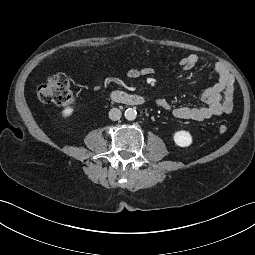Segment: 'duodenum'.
Wrapping results in <instances>:
<instances>
[{"label":"duodenum","mask_w":255,"mask_h":255,"mask_svg":"<svg viewBox=\"0 0 255 255\" xmlns=\"http://www.w3.org/2000/svg\"><path fill=\"white\" fill-rule=\"evenodd\" d=\"M110 99L112 101L130 105V106H140L145 103V99L136 94H129L123 91L114 90L110 93Z\"/></svg>","instance_id":"obj_1"}]
</instances>
